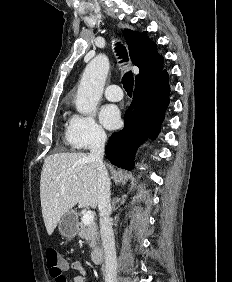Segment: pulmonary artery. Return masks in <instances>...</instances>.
Returning <instances> with one entry per match:
<instances>
[{
  "label": "pulmonary artery",
  "mask_w": 232,
  "mask_h": 282,
  "mask_svg": "<svg viewBox=\"0 0 232 282\" xmlns=\"http://www.w3.org/2000/svg\"><path fill=\"white\" fill-rule=\"evenodd\" d=\"M105 97L110 101H119L123 98V92L118 85H108L104 90Z\"/></svg>",
  "instance_id": "1"
}]
</instances>
